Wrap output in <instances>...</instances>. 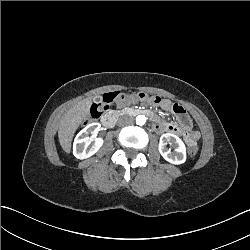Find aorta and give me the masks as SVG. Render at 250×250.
Instances as JSON below:
<instances>
[{"label": "aorta", "mask_w": 250, "mask_h": 250, "mask_svg": "<svg viewBox=\"0 0 250 250\" xmlns=\"http://www.w3.org/2000/svg\"><path fill=\"white\" fill-rule=\"evenodd\" d=\"M146 123V117L144 115H138L136 117V124L144 125Z\"/></svg>", "instance_id": "obj_1"}]
</instances>
